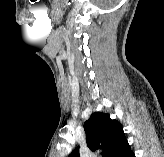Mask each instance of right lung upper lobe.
<instances>
[{
	"instance_id": "obj_1",
	"label": "right lung upper lobe",
	"mask_w": 164,
	"mask_h": 157,
	"mask_svg": "<svg viewBox=\"0 0 164 157\" xmlns=\"http://www.w3.org/2000/svg\"><path fill=\"white\" fill-rule=\"evenodd\" d=\"M84 130L87 146L92 151L102 150V157H115L126 142L121 124L106 113H93L84 123ZM68 157H80L79 147Z\"/></svg>"
}]
</instances>
